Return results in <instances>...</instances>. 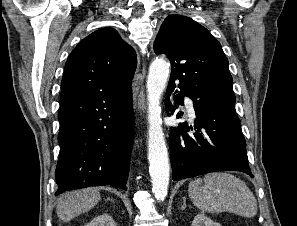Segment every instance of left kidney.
Masks as SVG:
<instances>
[{"label":"left kidney","instance_id":"5707ae66","mask_svg":"<svg viewBox=\"0 0 297 226\" xmlns=\"http://www.w3.org/2000/svg\"><path fill=\"white\" fill-rule=\"evenodd\" d=\"M191 226H222V225L214 222L210 218L206 217L204 214L200 213L194 217Z\"/></svg>","mask_w":297,"mask_h":226}]
</instances>
